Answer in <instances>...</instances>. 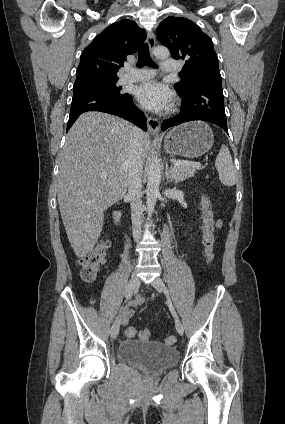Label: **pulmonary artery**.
Segmentation results:
<instances>
[{"label":"pulmonary artery","instance_id":"e3ab8cb5","mask_svg":"<svg viewBox=\"0 0 285 424\" xmlns=\"http://www.w3.org/2000/svg\"><path fill=\"white\" fill-rule=\"evenodd\" d=\"M162 69L166 73H171L178 69V62L175 60H165L163 61ZM154 75V71L150 69H140L131 71L123 75L120 79L121 83H129V82H138L143 80H149Z\"/></svg>","mask_w":285,"mask_h":424}]
</instances>
